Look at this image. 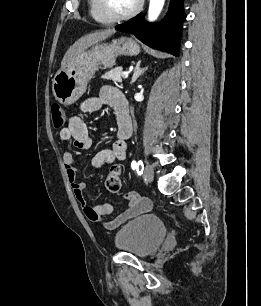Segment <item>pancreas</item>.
<instances>
[{
    "label": "pancreas",
    "instance_id": "obj_1",
    "mask_svg": "<svg viewBox=\"0 0 261 306\" xmlns=\"http://www.w3.org/2000/svg\"><path fill=\"white\" fill-rule=\"evenodd\" d=\"M104 79L112 80L113 82H122V67H116L115 69L106 72L103 75Z\"/></svg>",
    "mask_w": 261,
    "mask_h": 306
}]
</instances>
